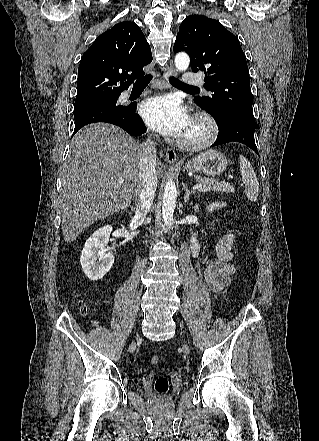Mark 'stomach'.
<instances>
[{"label": "stomach", "instance_id": "obj_1", "mask_svg": "<svg viewBox=\"0 0 319 441\" xmlns=\"http://www.w3.org/2000/svg\"><path fill=\"white\" fill-rule=\"evenodd\" d=\"M227 165L228 160L224 154L216 150H207L190 159L183 170L218 176L226 170Z\"/></svg>", "mask_w": 319, "mask_h": 441}]
</instances>
